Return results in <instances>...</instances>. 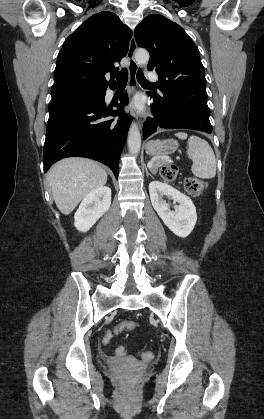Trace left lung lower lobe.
<instances>
[{"mask_svg":"<svg viewBox=\"0 0 264 419\" xmlns=\"http://www.w3.org/2000/svg\"><path fill=\"white\" fill-rule=\"evenodd\" d=\"M148 92L153 99L152 113L155 119L148 118L143 128V138L157 131L158 127L165 129H192L212 132L209 121L210 110L207 106V93L205 86L187 90L176 87L170 93Z\"/></svg>","mask_w":264,"mask_h":419,"instance_id":"1","label":"left lung lower lobe"}]
</instances>
